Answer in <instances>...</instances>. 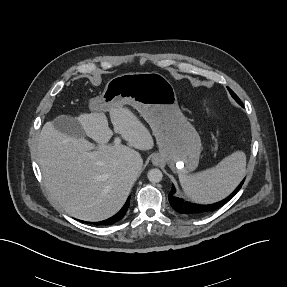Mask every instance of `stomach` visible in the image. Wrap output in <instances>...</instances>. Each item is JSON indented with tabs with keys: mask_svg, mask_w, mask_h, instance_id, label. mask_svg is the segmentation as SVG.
<instances>
[{
	"mask_svg": "<svg viewBox=\"0 0 287 287\" xmlns=\"http://www.w3.org/2000/svg\"><path fill=\"white\" fill-rule=\"evenodd\" d=\"M131 105L150 125L159 153L153 163H167L178 175L199 164L201 139L181 112L173 85L160 73H126L110 79L100 97L91 100L92 110Z\"/></svg>",
	"mask_w": 287,
	"mask_h": 287,
	"instance_id": "obj_1",
	"label": "stomach"
}]
</instances>
